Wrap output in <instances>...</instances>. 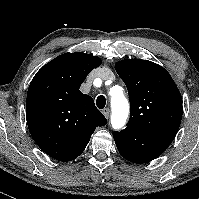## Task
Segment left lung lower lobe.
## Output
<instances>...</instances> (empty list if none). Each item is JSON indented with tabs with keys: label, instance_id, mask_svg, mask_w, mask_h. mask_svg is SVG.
<instances>
[{
	"label": "left lung lower lobe",
	"instance_id": "0a47b994",
	"mask_svg": "<svg viewBox=\"0 0 199 199\" xmlns=\"http://www.w3.org/2000/svg\"><path fill=\"white\" fill-rule=\"evenodd\" d=\"M113 137L119 153L128 161L142 164L160 156L170 142L126 127L121 132H114Z\"/></svg>",
	"mask_w": 199,
	"mask_h": 199
}]
</instances>
